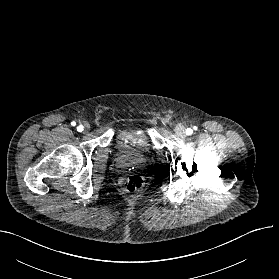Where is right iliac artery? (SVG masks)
Returning a JSON list of instances; mask_svg holds the SVG:
<instances>
[{"label":"right iliac artery","instance_id":"obj_1","mask_svg":"<svg viewBox=\"0 0 279 279\" xmlns=\"http://www.w3.org/2000/svg\"><path fill=\"white\" fill-rule=\"evenodd\" d=\"M73 126H75L76 125V123L75 122H72L71 123ZM83 129H84V127L82 126V125H79L78 127H77V131H79V132H82L83 131Z\"/></svg>","mask_w":279,"mask_h":279}]
</instances>
